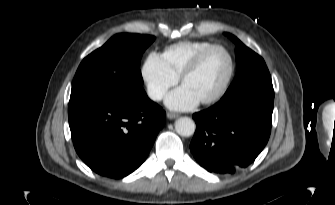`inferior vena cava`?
<instances>
[{
  "mask_svg": "<svg viewBox=\"0 0 335 205\" xmlns=\"http://www.w3.org/2000/svg\"><path fill=\"white\" fill-rule=\"evenodd\" d=\"M164 95V92L158 89H152L148 91V96L152 100H161Z\"/></svg>",
  "mask_w": 335,
  "mask_h": 205,
  "instance_id": "obj_1",
  "label": "inferior vena cava"
}]
</instances>
